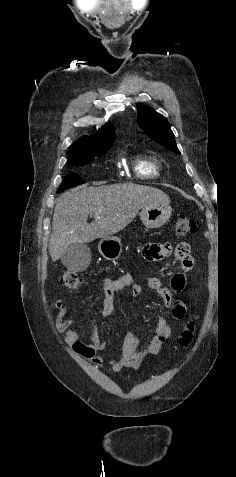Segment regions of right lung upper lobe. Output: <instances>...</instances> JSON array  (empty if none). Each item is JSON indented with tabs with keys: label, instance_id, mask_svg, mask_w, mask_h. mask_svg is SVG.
I'll use <instances>...</instances> for the list:
<instances>
[{
	"label": "right lung upper lobe",
	"instance_id": "1",
	"mask_svg": "<svg viewBox=\"0 0 236 477\" xmlns=\"http://www.w3.org/2000/svg\"><path fill=\"white\" fill-rule=\"evenodd\" d=\"M114 138L113 125L111 122H108L93 137L83 136L73 143L68 149L69 160L104 148H111Z\"/></svg>",
	"mask_w": 236,
	"mask_h": 477
}]
</instances>
